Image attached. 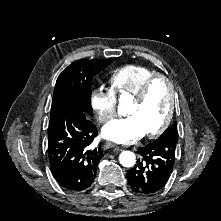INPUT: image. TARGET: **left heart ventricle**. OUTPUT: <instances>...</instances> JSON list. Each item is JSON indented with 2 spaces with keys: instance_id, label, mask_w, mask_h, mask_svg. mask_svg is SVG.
I'll list each match as a JSON object with an SVG mask.
<instances>
[{
  "instance_id": "obj_1",
  "label": "left heart ventricle",
  "mask_w": 221,
  "mask_h": 221,
  "mask_svg": "<svg viewBox=\"0 0 221 221\" xmlns=\"http://www.w3.org/2000/svg\"><path fill=\"white\" fill-rule=\"evenodd\" d=\"M169 107V90L165 82H156L150 89L146 100L136 105L132 102L127 110L128 117L134 118L144 133H149L160 126Z\"/></svg>"
}]
</instances>
